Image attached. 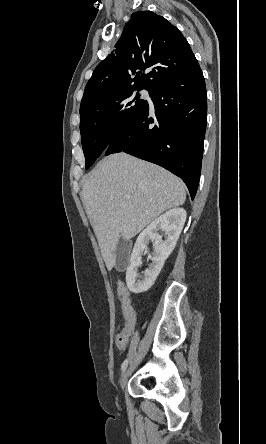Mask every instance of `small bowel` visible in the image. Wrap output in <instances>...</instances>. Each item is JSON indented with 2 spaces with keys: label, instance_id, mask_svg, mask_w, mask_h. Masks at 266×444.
Returning <instances> with one entry per match:
<instances>
[{
  "label": "small bowel",
  "instance_id": "c3829d8e",
  "mask_svg": "<svg viewBox=\"0 0 266 444\" xmlns=\"http://www.w3.org/2000/svg\"><path fill=\"white\" fill-rule=\"evenodd\" d=\"M116 295L120 300L121 309L125 320L124 327L116 336V344L119 348H124L135 331L137 314L133 306L131 293L122 282L117 283Z\"/></svg>",
  "mask_w": 266,
  "mask_h": 444
}]
</instances>
